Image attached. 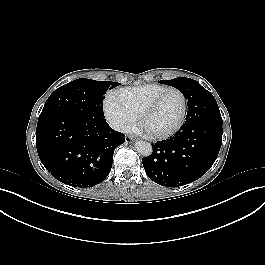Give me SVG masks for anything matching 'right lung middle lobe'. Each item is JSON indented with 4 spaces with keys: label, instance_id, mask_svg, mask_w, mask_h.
I'll list each match as a JSON object with an SVG mask.
<instances>
[{
    "label": "right lung middle lobe",
    "instance_id": "dd1d6c3e",
    "mask_svg": "<svg viewBox=\"0 0 265 265\" xmlns=\"http://www.w3.org/2000/svg\"><path fill=\"white\" fill-rule=\"evenodd\" d=\"M119 83L80 78L56 89L47 99L44 112L61 111L104 118L103 99L109 87Z\"/></svg>",
    "mask_w": 265,
    "mask_h": 265
}]
</instances>
